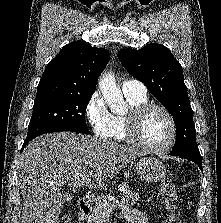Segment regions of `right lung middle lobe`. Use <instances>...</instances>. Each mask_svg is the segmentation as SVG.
<instances>
[{
	"instance_id": "dd1d6c3e",
	"label": "right lung middle lobe",
	"mask_w": 221,
	"mask_h": 223,
	"mask_svg": "<svg viewBox=\"0 0 221 223\" xmlns=\"http://www.w3.org/2000/svg\"><path fill=\"white\" fill-rule=\"evenodd\" d=\"M90 95L56 96L35 100L26 139L50 132L89 134L85 112Z\"/></svg>"
}]
</instances>
